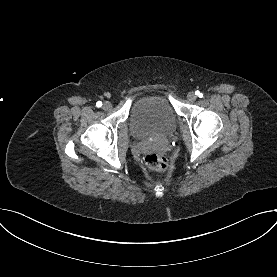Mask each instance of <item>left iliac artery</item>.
<instances>
[{"label":"left iliac artery","instance_id":"44dca946","mask_svg":"<svg viewBox=\"0 0 277 277\" xmlns=\"http://www.w3.org/2000/svg\"><path fill=\"white\" fill-rule=\"evenodd\" d=\"M196 95H198L199 97L203 96V94L201 92H199V91H196Z\"/></svg>","mask_w":277,"mask_h":277}]
</instances>
